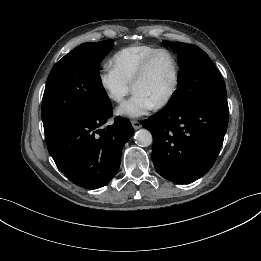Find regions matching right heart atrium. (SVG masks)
<instances>
[{
  "instance_id": "1",
  "label": "right heart atrium",
  "mask_w": 261,
  "mask_h": 261,
  "mask_svg": "<svg viewBox=\"0 0 261 261\" xmlns=\"http://www.w3.org/2000/svg\"><path fill=\"white\" fill-rule=\"evenodd\" d=\"M98 82L102 91L113 102H121L130 92V83L125 81L111 67H104L98 73Z\"/></svg>"
}]
</instances>
